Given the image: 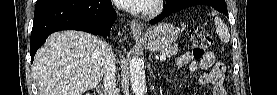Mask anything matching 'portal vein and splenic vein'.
<instances>
[{
  "label": "portal vein and splenic vein",
  "mask_w": 277,
  "mask_h": 95,
  "mask_svg": "<svg viewBox=\"0 0 277 95\" xmlns=\"http://www.w3.org/2000/svg\"><path fill=\"white\" fill-rule=\"evenodd\" d=\"M166 59V56L165 55H161L160 56V61L162 62V61H164Z\"/></svg>",
  "instance_id": "portal-vein-and-splenic-vein-1"
}]
</instances>
